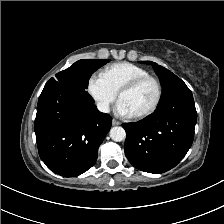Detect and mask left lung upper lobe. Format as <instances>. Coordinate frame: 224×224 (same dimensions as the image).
Returning <instances> with one entry per match:
<instances>
[{
	"label": "left lung upper lobe",
	"instance_id": "1",
	"mask_svg": "<svg viewBox=\"0 0 224 224\" xmlns=\"http://www.w3.org/2000/svg\"><path fill=\"white\" fill-rule=\"evenodd\" d=\"M141 63L151 64L155 69L156 74L159 76L163 87L160 104L173 99L182 92L190 91L186 84L168 69L158 66L151 61H141Z\"/></svg>",
	"mask_w": 224,
	"mask_h": 224
}]
</instances>
